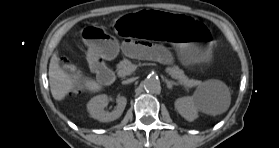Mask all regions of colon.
I'll return each mask as SVG.
<instances>
[{
  "label": "colon",
  "mask_w": 279,
  "mask_h": 148,
  "mask_svg": "<svg viewBox=\"0 0 279 148\" xmlns=\"http://www.w3.org/2000/svg\"><path fill=\"white\" fill-rule=\"evenodd\" d=\"M80 92H81L80 89H74L73 90V93H75V94L80 93Z\"/></svg>",
  "instance_id": "colon-1"
}]
</instances>
